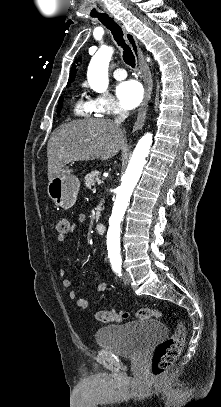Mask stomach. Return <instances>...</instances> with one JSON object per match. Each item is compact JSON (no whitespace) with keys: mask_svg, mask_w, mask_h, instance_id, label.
<instances>
[{"mask_svg":"<svg viewBox=\"0 0 221 407\" xmlns=\"http://www.w3.org/2000/svg\"><path fill=\"white\" fill-rule=\"evenodd\" d=\"M79 189L80 181L68 167L54 176L47 186L49 197L63 209H69L76 203Z\"/></svg>","mask_w":221,"mask_h":407,"instance_id":"0dacf381","label":"stomach"}]
</instances>
